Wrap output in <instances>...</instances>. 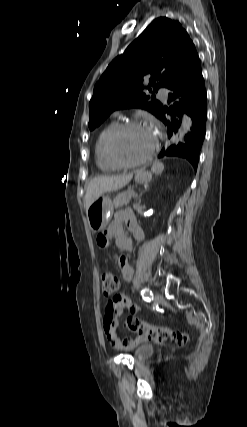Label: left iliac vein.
I'll list each match as a JSON object with an SVG mask.
<instances>
[{"instance_id":"4c4485c4","label":"left iliac vein","mask_w":247,"mask_h":427,"mask_svg":"<svg viewBox=\"0 0 247 427\" xmlns=\"http://www.w3.org/2000/svg\"><path fill=\"white\" fill-rule=\"evenodd\" d=\"M154 301L157 303H161L163 301V296L160 294H155L154 295Z\"/></svg>"}]
</instances>
